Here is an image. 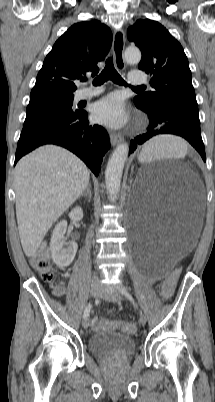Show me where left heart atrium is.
Here are the masks:
<instances>
[{
  "instance_id": "obj_1",
  "label": "left heart atrium",
  "mask_w": 215,
  "mask_h": 402,
  "mask_svg": "<svg viewBox=\"0 0 215 402\" xmlns=\"http://www.w3.org/2000/svg\"><path fill=\"white\" fill-rule=\"evenodd\" d=\"M93 119L110 127H121L127 121V113L120 98L108 95L98 101L92 110Z\"/></svg>"
}]
</instances>
